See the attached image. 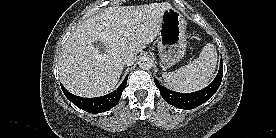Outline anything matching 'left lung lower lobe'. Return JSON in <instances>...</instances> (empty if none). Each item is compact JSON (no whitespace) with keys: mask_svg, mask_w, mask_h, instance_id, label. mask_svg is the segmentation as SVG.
Masks as SVG:
<instances>
[{"mask_svg":"<svg viewBox=\"0 0 276 138\" xmlns=\"http://www.w3.org/2000/svg\"><path fill=\"white\" fill-rule=\"evenodd\" d=\"M223 76V61H220V69L211 84L206 88L192 93H179L163 87L156 79L155 84L160 90L163 99L170 105L180 109H193L209 100L218 90Z\"/></svg>","mask_w":276,"mask_h":138,"instance_id":"left-lung-lower-lobe-1","label":"left lung lower lobe"}]
</instances>
